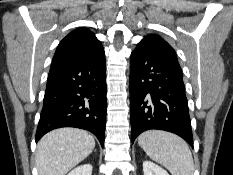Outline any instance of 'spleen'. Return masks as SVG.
<instances>
[{
    "mask_svg": "<svg viewBox=\"0 0 233 175\" xmlns=\"http://www.w3.org/2000/svg\"><path fill=\"white\" fill-rule=\"evenodd\" d=\"M138 144L154 161L166 167L172 175H193L194 163L188 144L179 136L159 130H149L138 137Z\"/></svg>",
    "mask_w": 233,
    "mask_h": 175,
    "instance_id": "spleen-1",
    "label": "spleen"
}]
</instances>
